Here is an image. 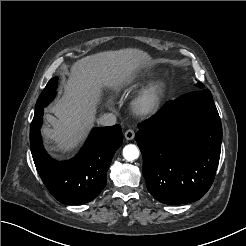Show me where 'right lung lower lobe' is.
<instances>
[{
	"label": "right lung lower lobe",
	"instance_id": "1",
	"mask_svg": "<svg viewBox=\"0 0 246 246\" xmlns=\"http://www.w3.org/2000/svg\"><path fill=\"white\" fill-rule=\"evenodd\" d=\"M44 108L35 109L30 127V147L36 169L46 188L64 204L92 201L107 183V170L123 141L119 125L94 128L80 152L64 162L53 160L44 150L40 128Z\"/></svg>",
	"mask_w": 246,
	"mask_h": 246
}]
</instances>
